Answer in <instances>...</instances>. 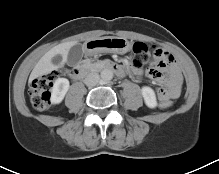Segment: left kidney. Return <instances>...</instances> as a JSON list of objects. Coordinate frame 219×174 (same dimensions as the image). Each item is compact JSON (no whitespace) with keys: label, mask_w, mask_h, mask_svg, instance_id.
Returning <instances> with one entry per match:
<instances>
[{"label":"left kidney","mask_w":219,"mask_h":174,"mask_svg":"<svg viewBox=\"0 0 219 174\" xmlns=\"http://www.w3.org/2000/svg\"><path fill=\"white\" fill-rule=\"evenodd\" d=\"M142 96L144 98L145 104L149 108H155L157 106V100H156V95L155 92L152 88L148 86H144L141 89Z\"/></svg>","instance_id":"obj_1"}]
</instances>
